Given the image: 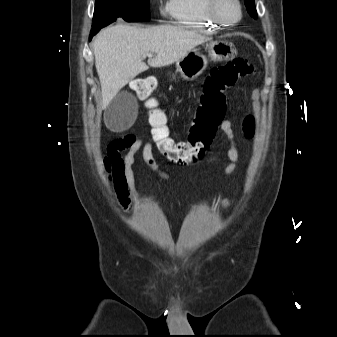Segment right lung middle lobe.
<instances>
[{
    "mask_svg": "<svg viewBox=\"0 0 337 337\" xmlns=\"http://www.w3.org/2000/svg\"><path fill=\"white\" fill-rule=\"evenodd\" d=\"M117 19L149 21V0H96L92 27L108 25Z\"/></svg>",
    "mask_w": 337,
    "mask_h": 337,
    "instance_id": "right-lung-middle-lobe-1",
    "label": "right lung middle lobe"
}]
</instances>
